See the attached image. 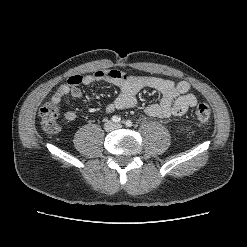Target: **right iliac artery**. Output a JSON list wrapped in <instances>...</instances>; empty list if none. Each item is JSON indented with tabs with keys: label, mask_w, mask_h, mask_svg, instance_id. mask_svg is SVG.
Wrapping results in <instances>:
<instances>
[{
	"label": "right iliac artery",
	"mask_w": 247,
	"mask_h": 247,
	"mask_svg": "<svg viewBox=\"0 0 247 247\" xmlns=\"http://www.w3.org/2000/svg\"><path fill=\"white\" fill-rule=\"evenodd\" d=\"M111 119L114 123H119L121 120V118L118 115H114Z\"/></svg>",
	"instance_id": "right-iliac-artery-1"
}]
</instances>
